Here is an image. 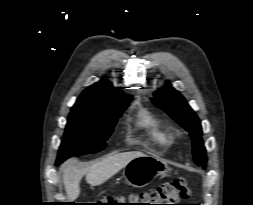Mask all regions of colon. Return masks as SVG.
Returning <instances> with one entry per match:
<instances>
[{
	"label": "colon",
	"instance_id": "obj_1",
	"mask_svg": "<svg viewBox=\"0 0 253 205\" xmlns=\"http://www.w3.org/2000/svg\"><path fill=\"white\" fill-rule=\"evenodd\" d=\"M190 193L185 178H177L166 182L155 189L139 195H131L128 199L119 197H104L102 205H177L180 198H186ZM170 203V204H157Z\"/></svg>",
	"mask_w": 253,
	"mask_h": 205
}]
</instances>
